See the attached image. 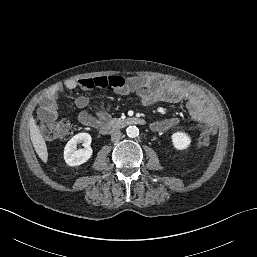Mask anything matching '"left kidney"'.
<instances>
[{
    "instance_id": "left-kidney-1",
    "label": "left kidney",
    "mask_w": 257,
    "mask_h": 257,
    "mask_svg": "<svg viewBox=\"0 0 257 257\" xmlns=\"http://www.w3.org/2000/svg\"><path fill=\"white\" fill-rule=\"evenodd\" d=\"M174 148L177 150L187 149L191 143V138L185 132H175L171 136Z\"/></svg>"
}]
</instances>
